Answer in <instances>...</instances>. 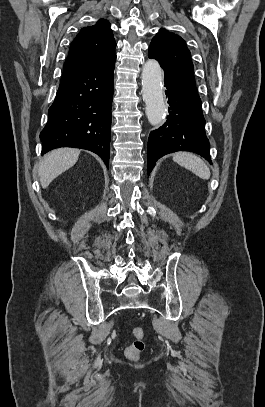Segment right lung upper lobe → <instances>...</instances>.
I'll return each mask as SVG.
<instances>
[{"label":"right lung upper lobe","instance_id":"obj_1","mask_svg":"<svg viewBox=\"0 0 265 407\" xmlns=\"http://www.w3.org/2000/svg\"><path fill=\"white\" fill-rule=\"evenodd\" d=\"M116 42L109 21L100 19L75 37L66 58L61 81L75 77L115 55Z\"/></svg>","mask_w":265,"mask_h":407}]
</instances>
